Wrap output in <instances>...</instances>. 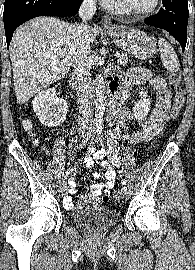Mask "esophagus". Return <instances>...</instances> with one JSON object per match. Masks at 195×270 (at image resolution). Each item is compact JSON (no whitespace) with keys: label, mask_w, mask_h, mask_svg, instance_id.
<instances>
[{"label":"esophagus","mask_w":195,"mask_h":270,"mask_svg":"<svg viewBox=\"0 0 195 270\" xmlns=\"http://www.w3.org/2000/svg\"><path fill=\"white\" fill-rule=\"evenodd\" d=\"M101 25L106 29H113L114 28L111 19L106 15L102 16Z\"/></svg>","instance_id":"obj_1"}]
</instances>
